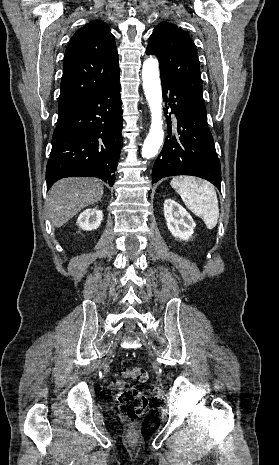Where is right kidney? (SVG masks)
<instances>
[{
	"label": "right kidney",
	"instance_id": "right-kidney-1",
	"mask_svg": "<svg viewBox=\"0 0 279 465\" xmlns=\"http://www.w3.org/2000/svg\"><path fill=\"white\" fill-rule=\"evenodd\" d=\"M102 219L103 212L97 208H91L79 215L77 224L82 230L92 231L100 226Z\"/></svg>",
	"mask_w": 279,
	"mask_h": 465
}]
</instances>
